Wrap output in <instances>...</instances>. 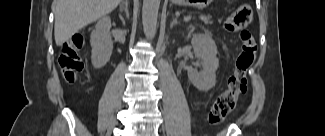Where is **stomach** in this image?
I'll return each mask as SVG.
<instances>
[{
	"label": "stomach",
	"mask_w": 325,
	"mask_h": 136,
	"mask_svg": "<svg viewBox=\"0 0 325 136\" xmlns=\"http://www.w3.org/2000/svg\"><path fill=\"white\" fill-rule=\"evenodd\" d=\"M172 2L178 5L205 8L210 4L211 0H172Z\"/></svg>",
	"instance_id": "obj_1"
}]
</instances>
